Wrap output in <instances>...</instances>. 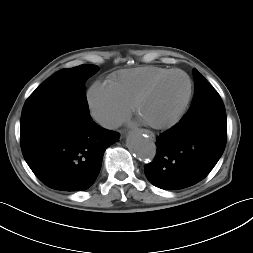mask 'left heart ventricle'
I'll return each instance as SVG.
<instances>
[{
  "label": "left heart ventricle",
  "mask_w": 253,
  "mask_h": 253,
  "mask_svg": "<svg viewBox=\"0 0 253 253\" xmlns=\"http://www.w3.org/2000/svg\"><path fill=\"white\" fill-rule=\"evenodd\" d=\"M188 84L184 76L174 74L163 80L143 101L140 116L151 123H163L171 119L187 94Z\"/></svg>",
  "instance_id": "b2bd125f"
}]
</instances>
